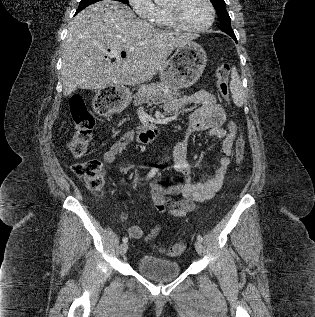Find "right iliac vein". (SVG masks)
<instances>
[{
    "mask_svg": "<svg viewBox=\"0 0 315 317\" xmlns=\"http://www.w3.org/2000/svg\"><path fill=\"white\" fill-rule=\"evenodd\" d=\"M128 250V244L127 243H123L121 246H120V254L121 255H124Z\"/></svg>",
    "mask_w": 315,
    "mask_h": 317,
    "instance_id": "1",
    "label": "right iliac vein"
}]
</instances>
